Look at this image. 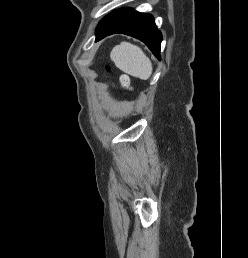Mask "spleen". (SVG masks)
I'll use <instances>...</instances> for the list:
<instances>
[{
	"label": "spleen",
	"instance_id": "spleen-1",
	"mask_svg": "<svg viewBox=\"0 0 248 258\" xmlns=\"http://www.w3.org/2000/svg\"><path fill=\"white\" fill-rule=\"evenodd\" d=\"M111 60L124 73L142 80L152 74V63L142 49L129 42H121L110 53Z\"/></svg>",
	"mask_w": 248,
	"mask_h": 258
}]
</instances>
